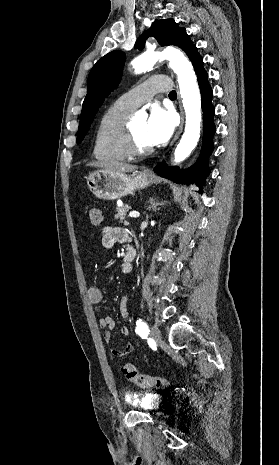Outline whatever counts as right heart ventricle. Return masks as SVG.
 <instances>
[{"mask_svg":"<svg viewBox=\"0 0 279 465\" xmlns=\"http://www.w3.org/2000/svg\"><path fill=\"white\" fill-rule=\"evenodd\" d=\"M131 112L132 110L117 102L104 112L94 140L93 156L95 159L102 162H116L127 157L120 146V140Z\"/></svg>","mask_w":279,"mask_h":465,"instance_id":"obj_1","label":"right heart ventricle"}]
</instances>
